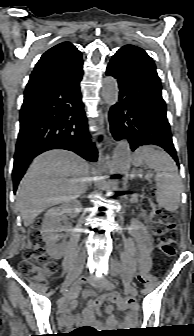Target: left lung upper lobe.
I'll return each instance as SVG.
<instances>
[{
	"instance_id": "1",
	"label": "left lung upper lobe",
	"mask_w": 194,
	"mask_h": 336,
	"mask_svg": "<svg viewBox=\"0 0 194 336\" xmlns=\"http://www.w3.org/2000/svg\"><path fill=\"white\" fill-rule=\"evenodd\" d=\"M122 48H128L131 49L133 51H135L136 53H138L140 55V57L142 58L143 62L145 63L146 67L153 72V74L155 75V77L157 78V80L160 82L159 77L156 73V68H155V64L153 62V60L150 58V56L141 48L133 46V45H126Z\"/></svg>"
}]
</instances>
